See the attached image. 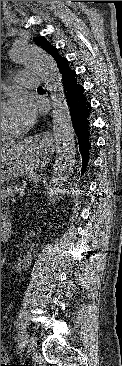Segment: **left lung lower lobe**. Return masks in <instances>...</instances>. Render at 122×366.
<instances>
[{"label":"left lung lower lobe","instance_id":"left-lung-lower-lobe-1","mask_svg":"<svg viewBox=\"0 0 122 366\" xmlns=\"http://www.w3.org/2000/svg\"><path fill=\"white\" fill-rule=\"evenodd\" d=\"M62 77L65 96L70 108L71 119L78 136L79 149L82 156V174L93 149L92 127L87 120L90 114V103L86 97L84 87L78 82L76 72L68 64V60L61 57L56 61Z\"/></svg>","mask_w":122,"mask_h":366}]
</instances>
